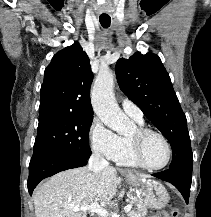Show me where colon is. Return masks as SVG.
I'll list each match as a JSON object with an SVG mask.
<instances>
[{
	"mask_svg": "<svg viewBox=\"0 0 211 217\" xmlns=\"http://www.w3.org/2000/svg\"><path fill=\"white\" fill-rule=\"evenodd\" d=\"M179 213L176 209H172L170 212L162 211L156 214L157 217H178Z\"/></svg>",
	"mask_w": 211,
	"mask_h": 217,
	"instance_id": "colon-1",
	"label": "colon"
}]
</instances>
